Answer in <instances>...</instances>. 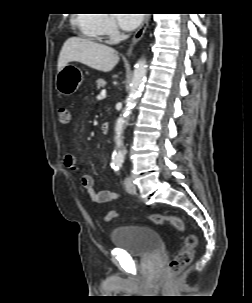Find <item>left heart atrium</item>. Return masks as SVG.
I'll return each instance as SVG.
<instances>
[{
	"mask_svg": "<svg viewBox=\"0 0 252 303\" xmlns=\"http://www.w3.org/2000/svg\"><path fill=\"white\" fill-rule=\"evenodd\" d=\"M134 15L135 14H116L119 26L128 31L135 29L139 25L142 16L139 14Z\"/></svg>",
	"mask_w": 252,
	"mask_h": 303,
	"instance_id": "1",
	"label": "left heart atrium"
}]
</instances>
